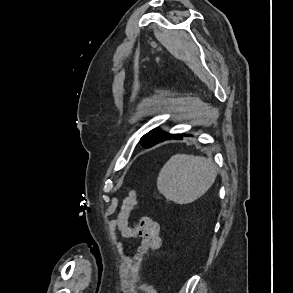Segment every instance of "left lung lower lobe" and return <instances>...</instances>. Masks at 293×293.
<instances>
[{
  "mask_svg": "<svg viewBox=\"0 0 293 293\" xmlns=\"http://www.w3.org/2000/svg\"><path fill=\"white\" fill-rule=\"evenodd\" d=\"M182 135L186 136V134H182ZM182 135L181 134H169V133H167L159 142L164 141V140H168V139H182Z\"/></svg>",
  "mask_w": 293,
  "mask_h": 293,
  "instance_id": "obj_1",
  "label": "left lung lower lobe"
}]
</instances>
